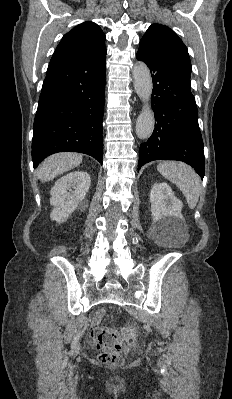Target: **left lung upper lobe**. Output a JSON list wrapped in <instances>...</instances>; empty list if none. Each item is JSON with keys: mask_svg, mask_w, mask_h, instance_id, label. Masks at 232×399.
<instances>
[{"mask_svg": "<svg viewBox=\"0 0 232 399\" xmlns=\"http://www.w3.org/2000/svg\"><path fill=\"white\" fill-rule=\"evenodd\" d=\"M140 46L151 48L164 54L179 67L190 81L192 67L187 47L169 27L161 24L151 25L140 40Z\"/></svg>", "mask_w": 232, "mask_h": 399, "instance_id": "obj_1", "label": "left lung upper lobe"}]
</instances>
